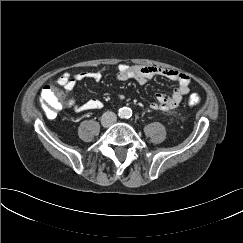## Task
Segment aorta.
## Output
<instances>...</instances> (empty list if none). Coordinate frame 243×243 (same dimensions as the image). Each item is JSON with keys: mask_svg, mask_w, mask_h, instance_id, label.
<instances>
[{"mask_svg": "<svg viewBox=\"0 0 243 243\" xmlns=\"http://www.w3.org/2000/svg\"><path fill=\"white\" fill-rule=\"evenodd\" d=\"M132 115V110L128 107H123L119 110V116L121 118H130Z\"/></svg>", "mask_w": 243, "mask_h": 243, "instance_id": "762f6f07", "label": "aorta"}]
</instances>
